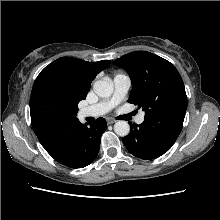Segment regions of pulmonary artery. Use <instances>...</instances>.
I'll use <instances>...</instances> for the list:
<instances>
[{
    "mask_svg": "<svg viewBox=\"0 0 220 220\" xmlns=\"http://www.w3.org/2000/svg\"><path fill=\"white\" fill-rule=\"evenodd\" d=\"M130 78L125 74H117L113 78L114 91L112 97L104 102L85 107L79 111L80 117H98L108 113L118 105L127 94L130 87ZM144 121V114L136 117V122L141 124Z\"/></svg>",
    "mask_w": 220,
    "mask_h": 220,
    "instance_id": "pulmonary-artery-1",
    "label": "pulmonary artery"
}]
</instances>
